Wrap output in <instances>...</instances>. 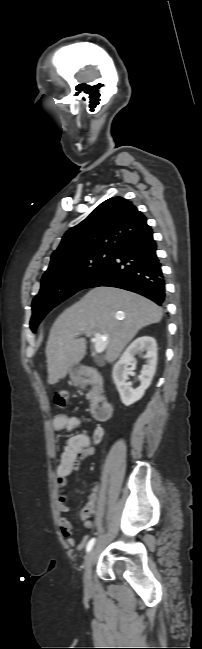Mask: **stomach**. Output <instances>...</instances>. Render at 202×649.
Segmentation results:
<instances>
[{"instance_id": "0dacf381", "label": "stomach", "mask_w": 202, "mask_h": 649, "mask_svg": "<svg viewBox=\"0 0 202 649\" xmlns=\"http://www.w3.org/2000/svg\"><path fill=\"white\" fill-rule=\"evenodd\" d=\"M69 375H70V379H71L75 384H79V383H80L79 379L77 378V368H76L75 366H72V367L69 369Z\"/></svg>"}]
</instances>
